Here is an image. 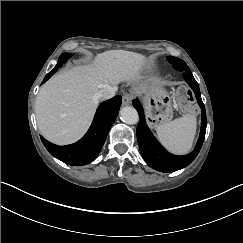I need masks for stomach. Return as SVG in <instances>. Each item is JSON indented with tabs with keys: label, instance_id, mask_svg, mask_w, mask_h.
<instances>
[{
	"label": "stomach",
	"instance_id": "stomach-1",
	"mask_svg": "<svg viewBox=\"0 0 243 243\" xmlns=\"http://www.w3.org/2000/svg\"><path fill=\"white\" fill-rule=\"evenodd\" d=\"M140 97L145 107L149 126L155 128L171 121L173 117L172 98L160 83L154 82Z\"/></svg>",
	"mask_w": 243,
	"mask_h": 243
}]
</instances>
